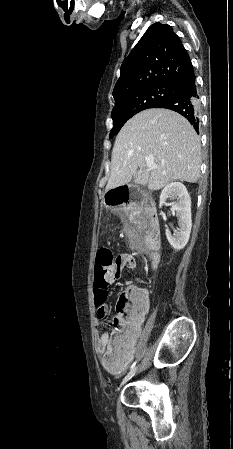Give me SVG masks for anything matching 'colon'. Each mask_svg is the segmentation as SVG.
<instances>
[{"mask_svg":"<svg viewBox=\"0 0 233 449\" xmlns=\"http://www.w3.org/2000/svg\"><path fill=\"white\" fill-rule=\"evenodd\" d=\"M116 260L109 248H101L97 251L94 266V305L96 308L104 306L110 285V269L114 267ZM147 305L146 293L138 288L131 287L123 291L118 303V314L112 320L115 345L118 349L124 350L128 341L139 329L140 317ZM103 365L107 369H118L123 365L121 358H116L113 354L107 353L103 357Z\"/></svg>","mask_w":233,"mask_h":449,"instance_id":"colon-1","label":"colon"}]
</instances>
